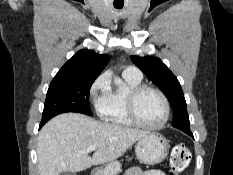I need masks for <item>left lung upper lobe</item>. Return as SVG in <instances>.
I'll use <instances>...</instances> for the list:
<instances>
[{
	"label": "left lung upper lobe",
	"mask_w": 233,
	"mask_h": 175,
	"mask_svg": "<svg viewBox=\"0 0 233 175\" xmlns=\"http://www.w3.org/2000/svg\"><path fill=\"white\" fill-rule=\"evenodd\" d=\"M131 59L168 98L174 112L172 126L191 133L184 94L173 73L159 58L131 56Z\"/></svg>",
	"instance_id": "obj_1"
}]
</instances>
